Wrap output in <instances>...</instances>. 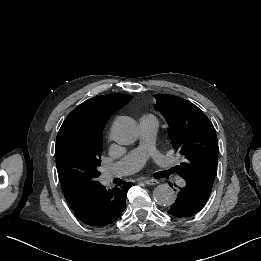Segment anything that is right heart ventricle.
<instances>
[{
    "label": "right heart ventricle",
    "mask_w": 261,
    "mask_h": 261,
    "mask_svg": "<svg viewBox=\"0 0 261 261\" xmlns=\"http://www.w3.org/2000/svg\"><path fill=\"white\" fill-rule=\"evenodd\" d=\"M142 118H152V119H154L153 116L150 115V114H147V115L143 116Z\"/></svg>",
    "instance_id": "right-heart-ventricle-1"
}]
</instances>
